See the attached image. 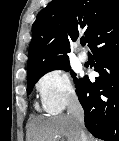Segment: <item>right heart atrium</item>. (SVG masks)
Returning a JSON list of instances; mask_svg holds the SVG:
<instances>
[{
  "label": "right heart atrium",
  "mask_w": 119,
  "mask_h": 141,
  "mask_svg": "<svg viewBox=\"0 0 119 141\" xmlns=\"http://www.w3.org/2000/svg\"><path fill=\"white\" fill-rule=\"evenodd\" d=\"M36 89L42 107L50 112L62 111L76 100V93L68 73L62 69H52L42 75Z\"/></svg>",
  "instance_id": "1"
}]
</instances>
